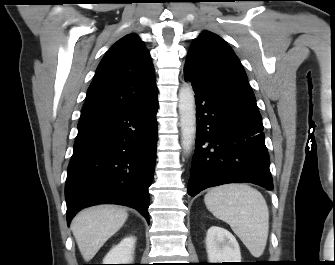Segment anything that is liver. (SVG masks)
I'll return each instance as SVG.
<instances>
[{"label":"liver","mask_w":335,"mask_h":265,"mask_svg":"<svg viewBox=\"0 0 335 265\" xmlns=\"http://www.w3.org/2000/svg\"><path fill=\"white\" fill-rule=\"evenodd\" d=\"M127 218L126 209L115 205H98L79 212L71 222V230L83 259L90 261Z\"/></svg>","instance_id":"6515ba94"}]
</instances>
